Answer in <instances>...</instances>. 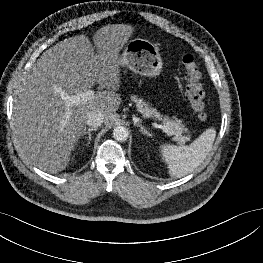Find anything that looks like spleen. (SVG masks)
<instances>
[{
    "label": "spleen",
    "mask_w": 263,
    "mask_h": 263,
    "mask_svg": "<svg viewBox=\"0 0 263 263\" xmlns=\"http://www.w3.org/2000/svg\"><path fill=\"white\" fill-rule=\"evenodd\" d=\"M215 137L216 130L208 128L189 146L161 145V155L167 163L169 175L181 178L193 172L211 151Z\"/></svg>",
    "instance_id": "3e777b00"
}]
</instances>
